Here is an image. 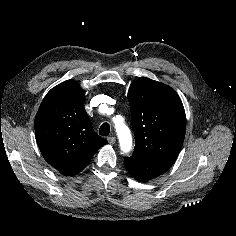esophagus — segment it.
<instances>
[{"instance_id":"obj_1","label":"esophagus","mask_w":236,"mask_h":236,"mask_svg":"<svg viewBox=\"0 0 236 236\" xmlns=\"http://www.w3.org/2000/svg\"><path fill=\"white\" fill-rule=\"evenodd\" d=\"M107 141H108L109 144L113 145L116 141V138L114 136H110V137L107 138Z\"/></svg>"}]
</instances>
